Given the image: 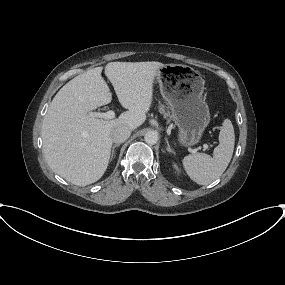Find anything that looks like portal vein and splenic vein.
<instances>
[{"instance_id":"portal-vein-and-splenic-vein-1","label":"portal vein and splenic vein","mask_w":285,"mask_h":285,"mask_svg":"<svg viewBox=\"0 0 285 285\" xmlns=\"http://www.w3.org/2000/svg\"><path fill=\"white\" fill-rule=\"evenodd\" d=\"M91 117H96V118H102V119H113L115 118V111L114 110H109L106 113H101V112H91L90 113ZM206 149L208 148V145L204 146Z\"/></svg>"}]
</instances>
